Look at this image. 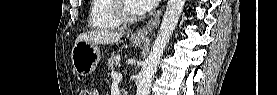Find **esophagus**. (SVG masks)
Returning a JSON list of instances; mask_svg holds the SVG:
<instances>
[{
  "label": "esophagus",
  "instance_id": "34e87169",
  "mask_svg": "<svg viewBox=\"0 0 277 95\" xmlns=\"http://www.w3.org/2000/svg\"><path fill=\"white\" fill-rule=\"evenodd\" d=\"M163 9L161 8L148 22L147 24L138 29L134 33V37L138 39H147L152 30L158 26Z\"/></svg>",
  "mask_w": 277,
  "mask_h": 95
}]
</instances>
